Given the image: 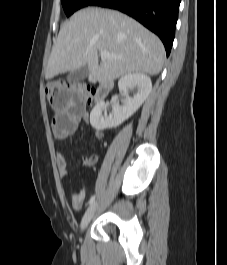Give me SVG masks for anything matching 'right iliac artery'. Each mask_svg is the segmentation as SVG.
I'll return each instance as SVG.
<instances>
[{
    "mask_svg": "<svg viewBox=\"0 0 227 265\" xmlns=\"http://www.w3.org/2000/svg\"><path fill=\"white\" fill-rule=\"evenodd\" d=\"M94 200H95V195H93L91 198H90V200H89V205H92L93 204V202H94Z\"/></svg>",
    "mask_w": 227,
    "mask_h": 265,
    "instance_id": "82829eb1",
    "label": "right iliac artery"
}]
</instances>
